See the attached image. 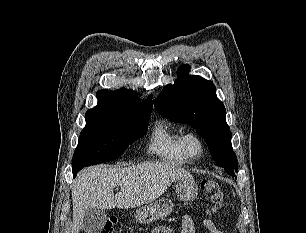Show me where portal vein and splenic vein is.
<instances>
[{
    "instance_id": "18ae733b",
    "label": "portal vein and splenic vein",
    "mask_w": 306,
    "mask_h": 233,
    "mask_svg": "<svg viewBox=\"0 0 306 233\" xmlns=\"http://www.w3.org/2000/svg\"><path fill=\"white\" fill-rule=\"evenodd\" d=\"M121 190H124V188H123V187H121Z\"/></svg>"
}]
</instances>
